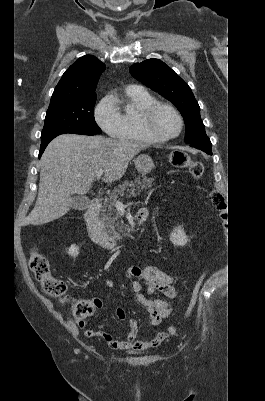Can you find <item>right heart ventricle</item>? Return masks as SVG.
I'll return each instance as SVG.
<instances>
[{
	"label": "right heart ventricle",
	"mask_w": 265,
	"mask_h": 401,
	"mask_svg": "<svg viewBox=\"0 0 265 401\" xmlns=\"http://www.w3.org/2000/svg\"><path fill=\"white\" fill-rule=\"evenodd\" d=\"M128 87L125 89L123 97L124 104L119 111L121 126L117 134H115L114 137L116 139L113 142L148 141L141 129L139 120L142 111L156 100L142 88L136 86Z\"/></svg>",
	"instance_id": "1"
}]
</instances>
